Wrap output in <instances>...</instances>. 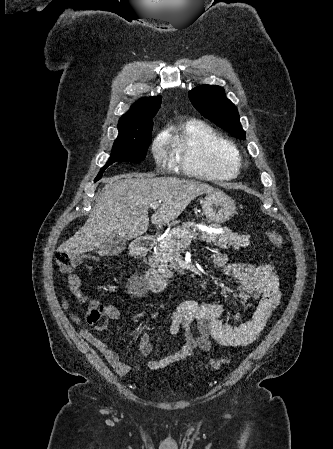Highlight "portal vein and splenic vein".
Returning a JSON list of instances; mask_svg holds the SVG:
<instances>
[{"mask_svg":"<svg viewBox=\"0 0 333 449\" xmlns=\"http://www.w3.org/2000/svg\"><path fill=\"white\" fill-rule=\"evenodd\" d=\"M160 204H161V201H159V202H155V203H152L151 205H150V207L152 208V209H157L159 206H160ZM188 233V232H187ZM192 237H196L197 236V234H195V233H189Z\"/></svg>","mask_w":333,"mask_h":449,"instance_id":"18ae733b","label":"portal vein and splenic vein"}]
</instances>
